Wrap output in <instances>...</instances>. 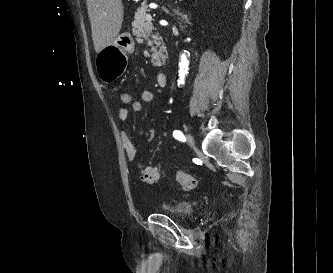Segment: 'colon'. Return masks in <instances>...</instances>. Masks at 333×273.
<instances>
[{"label": "colon", "instance_id": "5ec220e1", "mask_svg": "<svg viewBox=\"0 0 333 273\" xmlns=\"http://www.w3.org/2000/svg\"><path fill=\"white\" fill-rule=\"evenodd\" d=\"M118 100L122 104H130L132 96L127 92H122L118 95ZM174 178L184 191H191L197 185V181L193 176L182 171H178ZM141 179L146 183L156 184L161 180V173L156 168L144 167L141 170Z\"/></svg>", "mask_w": 333, "mask_h": 273}]
</instances>
